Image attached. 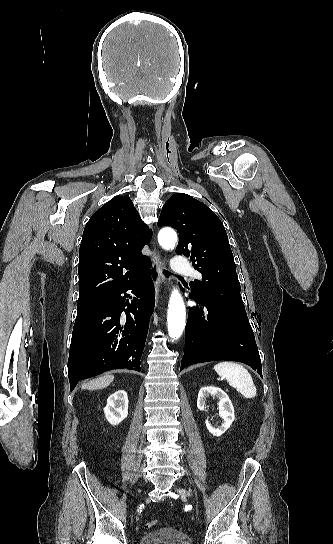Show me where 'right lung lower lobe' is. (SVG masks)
I'll list each match as a JSON object with an SVG mask.
<instances>
[{
  "label": "right lung lower lobe",
  "instance_id": "obj_1",
  "mask_svg": "<svg viewBox=\"0 0 333 544\" xmlns=\"http://www.w3.org/2000/svg\"><path fill=\"white\" fill-rule=\"evenodd\" d=\"M152 283L148 268L98 309L76 318L68 359L71 391L80 380L111 369L141 370L140 359L155 305ZM128 290L133 298L126 293ZM123 310L126 318L121 316Z\"/></svg>",
  "mask_w": 333,
  "mask_h": 544
}]
</instances>
